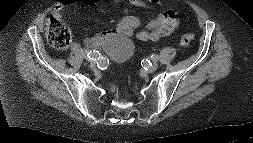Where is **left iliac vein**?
Instances as JSON below:
<instances>
[{
    "mask_svg": "<svg viewBox=\"0 0 253 143\" xmlns=\"http://www.w3.org/2000/svg\"><path fill=\"white\" fill-rule=\"evenodd\" d=\"M158 68V64L156 62H153L149 67H148V71L149 72H154L156 71Z\"/></svg>",
    "mask_w": 253,
    "mask_h": 143,
    "instance_id": "1",
    "label": "left iliac vein"
}]
</instances>
